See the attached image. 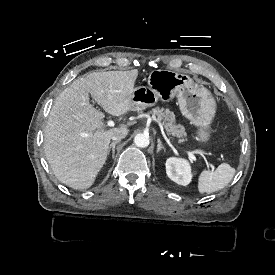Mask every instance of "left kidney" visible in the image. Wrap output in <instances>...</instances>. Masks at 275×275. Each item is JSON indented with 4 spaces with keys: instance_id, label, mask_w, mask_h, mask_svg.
<instances>
[{
    "instance_id": "left-kidney-1",
    "label": "left kidney",
    "mask_w": 275,
    "mask_h": 275,
    "mask_svg": "<svg viewBox=\"0 0 275 275\" xmlns=\"http://www.w3.org/2000/svg\"><path fill=\"white\" fill-rule=\"evenodd\" d=\"M166 174L179 185L186 186L191 182V166L186 159L170 157L166 160Z\"/></svg>"
}]
</instances>
